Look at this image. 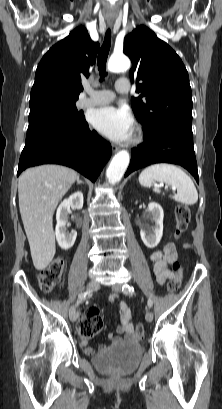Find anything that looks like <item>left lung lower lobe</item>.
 <instances>
[{"label": "left lung lower lobe", "instance_id": "obj_1", "mask_svg": "<svg viewBox=\"0 0 222 409\" xmlns=\"http://www.w3.org/2000/svg\"><path fill=\"white\" fill-rule=\"evenodd\" d=\"M144 143L132 150L125 176L154 163H172L186 168L199 182L191 125L177 120L161 121L144 129Z\"/></svg>", "mask_w": 222, "mask_h": 409}]
</instances>
